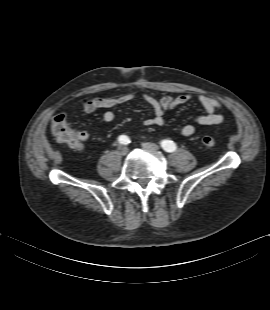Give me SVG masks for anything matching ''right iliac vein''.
Returning a JSON list of instances; mask_svg holds the SVG:
<instances>
[{"mask_svg": "<svg viewBox=\"0 0 270 310\" xmlns=\"http://www.w3.org/2000/svg\"><path fill=\"white\" fill-rule=\"evenodd\" d=\"M119 152H120L121 155L125 156V155L128 154V148L126 146H121L119 148Z\"/></svg>", "mask_w": 270, "mask_h": 310, "instance_id": "obj_1", "label": "right iliac vein"}]
</instances>
